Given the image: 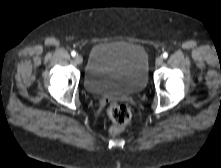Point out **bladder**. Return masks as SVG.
Instances as JSON below:
<instances>
[{
	"mask_svg": "<svg viewBox=\"0 0 221 168\" xmlns=\"http://www.w3.org/2000/svg\"><path fill=\"white\" fill-rule=\"evenodd\" d=\"M148 75V55L141 45L99 43L89 53L84 85L92 94L123 98L142 91Z\"/></svg>",
	"mask_w": 221,
	"mask_h": 168,
	"instance_id": "1",
	"label": "bladder"
}]
</instances>
